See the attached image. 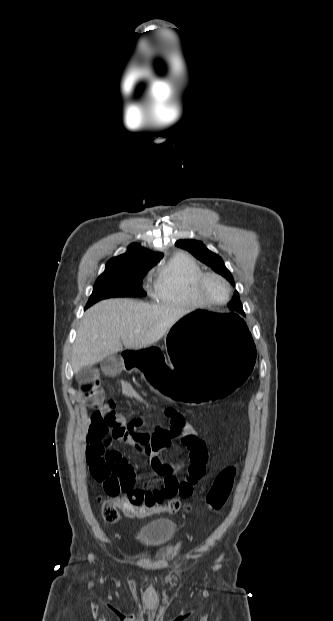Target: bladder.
<instances>
[{
	"instance_id": "bladder-1",
	"label": "bladder",
	"mask_w": 333,
	"mask_h": 621,
	"mask_svg": "<svg viewBox=\"0 0 333 621\" xmlns=\"http://www.w3.org/2000/svg\"><path fill=\"white\" fill-rule=\"evenodd\" d=\"M177 534V524L167 518L156 519L137 532V541L144 547H161L172 542Z\"/></svg>"
}]
</instances>
